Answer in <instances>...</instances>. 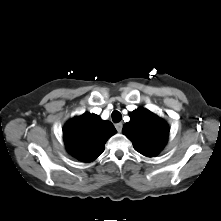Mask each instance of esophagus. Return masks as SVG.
Returning <instances> with one entry per match:
<instances>
[{
  "label": "esophagus",
  "instance_id": "esophagus-1",
  "mask_svg": "<svg viewBox=\"0 0 221 221\" xmlns=\"http://www.w3.org/2000/svg\"><path fill=\"white\" fill-rule=\"evenodd\" d=\"M115 128L118 132H121L122 128H123V124L121 122L117 123V124H115Z\"/></svg>",
  "mask_w": 221,
  "mask_h": 221
}]
</instances>
